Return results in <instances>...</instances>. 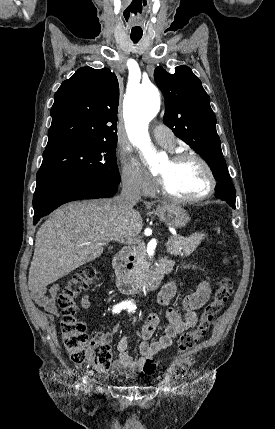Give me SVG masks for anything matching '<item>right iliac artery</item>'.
<instances>
[{
	"mask_svg": "<svg viewBox=\"0 0 275 429\" xmlns=\"http://www.w3.org/2000/svg\"><path fill=\"white\" fill-rule=\"evenodd\" d=\"M123 308H125L123 304H117L116 306H114L112 311L113 313H119Z\"/></svg>",
	"mask_w": 275,
	"mask_h": 429,
	"instance_id": "obj_1",
	"label": "right iliac artery"
}]
</instances>
